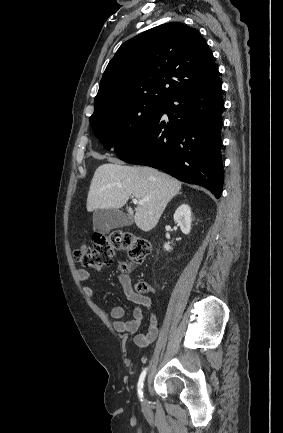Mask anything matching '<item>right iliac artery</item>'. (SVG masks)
Here are the masks:
<instances>
[{
  "label": "right iliac artery",
  "mask_w": 283,
  "mask_h": 433,
  "mask_svg": "<svg viewBox=\"0 0 283 433\" xmlns=\"http://www.w3.org/2000/svg\"><path fill=\"white\" fill-rule=\"evenodd\" d=\"M146 371H147V368H145V370H143V372L140 375L139 381H138V389H137V391H138V395H139L141 401H143L142 388H143V381H144L145 376H146Z\"/></svg>",
  "instance_id": "right-iliac-artery-1"
}]
</instances>
